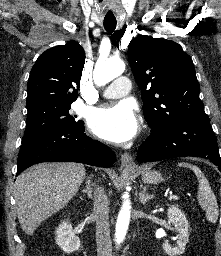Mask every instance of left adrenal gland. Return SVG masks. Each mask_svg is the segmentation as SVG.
I'll return each mask as SVG.
<instances>
[{"instance_id": "1", "label": "left adrenal gland", "mask_w": 221, "mask_h": 256, "mask_svg": "<svg viewBox=\"0 0 221 256\" xmlns=\"http://www.w3.org/2000/svg\"><path fill=\"white\" fill-rule=\"evenodd\" d=\"M153 195L146 193V187L139 194L140 202L145 205L149 200L153 199Z\"/></svg>"}]
</instances>
